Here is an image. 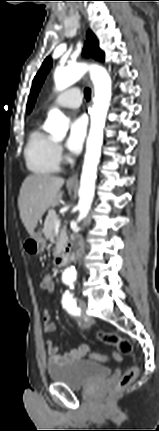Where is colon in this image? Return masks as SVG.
<instances>
[{"instance_id":"colon-1","label":"colon","mask_w":159,"mask_h":431,"mask_svg":"<svg viewBox=\"0 0 159 431\" xmlns=\"http://www.w3.org/2000/svg\"><path fill=\"white\" fill-rule=\"evenodd\" d=\"M49 280H50V283L48 284L49 296L55 297L57 284L55 282L54 277L51 276ZM98 338L105 344L114 346L118 350V353L112 354L109 358L110 360H112L113 363L114 362L121 363L120 355H128L132 352L133 348H132L131 342L128 339L123 338L113 332L101 331L98 333ZM89 356L92 359L97 360V363L107 362L105 354H102V357H101L97 354L91 353ZM137 375H138V369L136 367L129 368L121 377V379L116 383L113 389V392L115 394H118L123 390H125L128 387V385L136 379Z\"/></svg>"}]
</instances>
